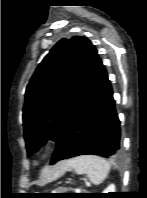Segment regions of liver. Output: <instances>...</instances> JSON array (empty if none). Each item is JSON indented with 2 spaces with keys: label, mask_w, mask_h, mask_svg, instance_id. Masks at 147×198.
<instances>
[{
  "label": "liver",
  "mask_w": 147,
  "mask_h": 198,
  "mask_svg": "<svg viewBox=\"0 0 147 198\" xmlns=\"http://www.w3.org/2000/svg\"><path fill=\"white\" fill-rule=\"evenodd\" d=\"M71 169L70 160L61 161L54 167L50 168L47 173L42 176V184L53 181L61 177L67 170Z\"/></svg>",
  "instance_id": "1"
}]
</instances>
